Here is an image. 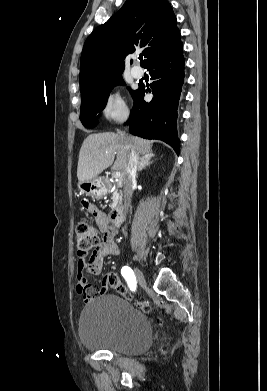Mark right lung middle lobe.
I'll return each instance as SVG.
<instances>
[{"mask_svg": "<svg viewBox=\"0 0 267 391\" xmlns=\"http://www.w3.org/2000/svg\"><path fill=\"white\" fill-rule=\"evenodd\" d=\"M123 83L121 73L114 74L81 94L80 120L85 127L92 128L97 125L96 113L105 108L111 89L115 85ZM131 93L133 95L135 91L131 90Z\"/></svg>", "mask_w": 267, "mask_h": 391, "instance_id": "dd1d6c3e", "label": "right lung middle lobe"}]
</instances>
